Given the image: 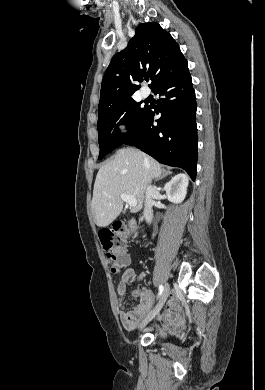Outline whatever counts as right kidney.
Segmentation results:
<instances>
[{
	"label": "right kidney",
	"mask_w": 265,
	"mask_h": 390,
	"mask_svg": "<svg viewBox=\"0 0 265 390\" xmlns=\"http://www.w3.org/2000/svg\"><path fill=\"white\" fill-rule=\"evenodd\" d=\"M188 177L185 174H177L164 186L169 201L179 204L183 202L187 194Z\"/></svg>",
	"instance_id": "right-kidney-1"
}]
</instances>
